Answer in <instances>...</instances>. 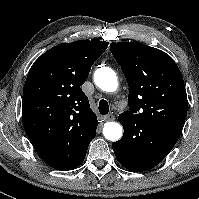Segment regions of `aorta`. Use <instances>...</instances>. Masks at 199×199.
<instances>
[{
  "label": "aorta",
  "mask_w": 199,
  "mask_h": 199,
  "mask_svg": "<svg viewBox=\"0 0 199 199\" xmlns=\"http://www.w3.org/2000/svg\"><path fill=\"white\" fill-rule=\"evenodd\" d=\"M95 84L103 91L114 92L117 90L118 81L116 73L109 67H101L94 74ZM107 140L118 141L123 134L122 126L117 122H108L103 128Z\"/></svg>",
  "instance_id": "obj_1"
}]
</instances>
